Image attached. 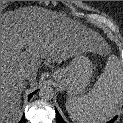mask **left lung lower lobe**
I'll use <instances>...</instances> for the list:
<instances>
[{
    "label": "left lung lower lobe",
    "instance_id": "0a47b994",
    "mask_svg": "<svg viewBox=\"0 0 123 123\" xmlns=\"http://www.w3.org/2000/svg\"><path fill=\"white\" fill-rule=\"evenodd\" d=\"M56 110V109H55ZM56 117H57V123H65V121L61 118L60 114L58 113V111L56 110ZM117 119V116L114 117L112 120H110L107 123H113L115 120Z\"/></svg>",
    "mask_w": 123,
    "mask_h": 123
}]
</instances>
